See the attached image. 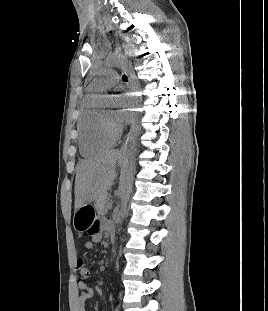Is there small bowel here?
Instances as JSON below:
<instances>
[{"mask_svg":"<svg viewBox=\"0 0 268 311\" xmlns=\"http://www.w3.org/2000/svg\"><path fill=\"white\" fill-rule=\"evenodd\" d=\"M113 225L106 219L96 220L93 225L89 228L88 232L91 235L90 240L85 243L87 250H92L94 246L99 243L102 239V232L104 230L111 231ZM78 295L75 300V307L77 311H86V301L90 299L94 290L93 287L84 281H79L77 284Z\"/></svg>","mask_w":268,"mask_h":311,"instance_id":"small-bowel-1","label":"small bowel"}]
</instances>
